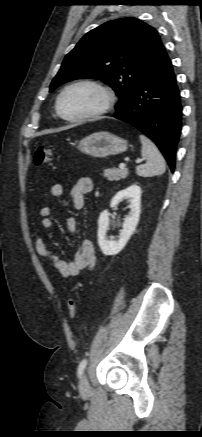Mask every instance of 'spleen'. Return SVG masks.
<instances>
[{
    "label": "spleen",
    "instance_id": "3e777b00",
    "mask_svg": "<svg viewBox=\"0 0 202 437\" xmlns=\"http://www.w3.org/2000/svg\"><path fill=\"white\" fill-rule=\"evenodd\" d=\"M142 143L141 155L146 159L145 164L138 165L136 173L141 177L161 175L166 170L164 158L156 145L146 136L140 135Z\"/></svg>",
    "mask_w": 202,
    "mask_h": 437
}]
</instances>
